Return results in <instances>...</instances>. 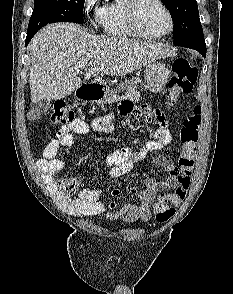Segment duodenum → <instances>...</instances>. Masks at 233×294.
Here are the masks:
<instances>
[{
	"label": "duodenum",
	"instance_id": "duodenum-1",
	"mask_svg": "<svg viewBox=\"0 0 233 294\" xmlns=\"http://www.w3.org/2000/svg\"><path fill=\"white\" fill-rule=\"evenodd\" d=\"M101 89L98 84L83 85L76 90V98L79 101L92 100L100 95Z\"/></svg>",
	"mask_w": 233,
	"mask_h": 294
}]
</instances>
